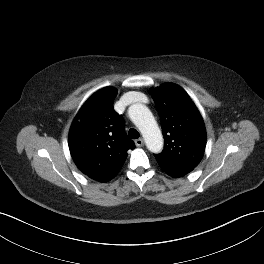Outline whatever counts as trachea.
I'll return each instance as SVG.
<instances>
[{"label": "trachea", "instance_id": "3493384b", "mask_svg": "<svg viewBox=\"0 0 264 264\" xmlns=\"http://www.w3.org/2000/svg\"><path fill=\"white\" fill-rule=\"evenodd\" d=\"M128 134H129V137L131 139H138L139 136H140L139 132L136 129H134V128H131L129 130Z\"/></svg>", "mask_w": 264, "mask_h": 264}]
</instances>
